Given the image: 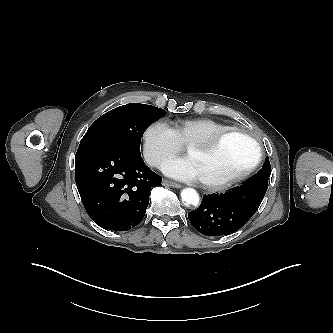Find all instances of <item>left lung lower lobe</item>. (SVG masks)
<instances>
[{
	"mask_svg": "<svg viewBox=\"0 0 333 333\" xmlns=\"http://www.w3.org/2000/svg\"><path fill=\"white\" fill-rule=\"evenodd\" d=\"M268 183L243 184L224 194L205 195L201 205L188 214L192 226L205 236L228 235L254 215Z\"/></svg>",
	"mask_w": 333,
	"mask_h": 333,
	"instance_id": "obj_1",
	"label": "left lung lower lobe"
}]
</instances>
